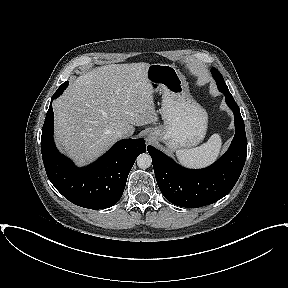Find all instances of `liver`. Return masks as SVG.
I'll return each mask as SVG.
<instances>
[{
  "label": "liver",
  "mask_w": 288,
  "mask_h": 288,
  "mask_svg": "<svg viewBox=\"0 0 288 288\" xmlns=\"http://www.w3.org/2000/svg\"><path fill=\"white\" fill-rule=\"evenodd\" d=\"M149 63L111 64L77 77L53 105L55 142L82 166L107 151L123 129L157 121Z\"/></svg>",
  "instance_id": "6515ba94"
}]
</instances>
